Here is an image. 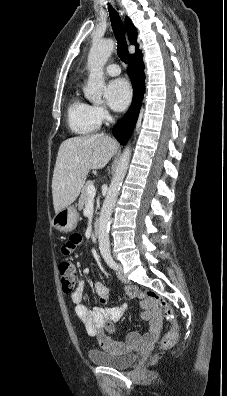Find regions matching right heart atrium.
I'll return each mask as SVG.
<instances>
[{
	"label": "right heart atrium",
	"mask_w": 227,
	"mask_h": 396,
	"mask_svg": "<svg viewBox=\"0 0 227 396\" xmlns=\"http://www.w3.org/2000/svg\"><path fill=\"white\" fill-rule=\"evenodd\" d=\"M93 114L99 123L108 121L111 118L108 110L101 105H92Z\"/></svg>",
	"instance_id": "1"
}]
</instances>
